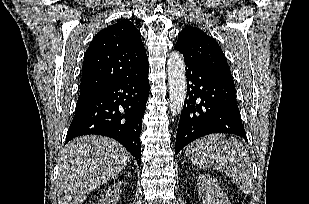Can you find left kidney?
Listing matches in <instances>:
<instances>
[{"label":"left kidney","instance_id":"obj_1","mask_svg":"<svg viewBox=\"0 0 309 204\" xmlns=\"http://www.w3.org/2000/svg\"><path fill=\"white\" fill-rule=\"evenodd\" d=\"M197 186L203 204H230L226 193L215 178L201 174L197 177Z\"/></svg>","mask_w":309,"mask_h":204}]
</instances>
